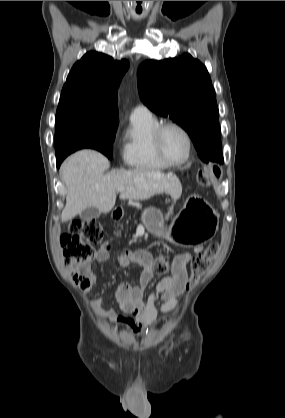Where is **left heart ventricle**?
Instances as JSON below:
<instances>
[{
	"label": "left heart ventricle",
	"instance_id": "left-heart-ventricle-1",
	"mask_svg": "<svg viewBox=\"0 0 285 418\" xmlns=\"http://www.w3.org/2000/svg\"><path fill=\"white\" fill-rule=\"evenodd\" d=\"M162 146L167 157L173 162L182 161L187 154L185 136L176 128H168L163 132Z\"/></svg>",
	"mask_w": 285,
	"mask_h": 418
}]
</instances>
